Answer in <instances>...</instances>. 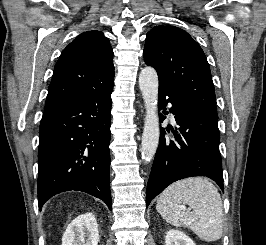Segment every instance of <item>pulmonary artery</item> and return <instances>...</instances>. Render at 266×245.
<instances>
[{
    "instance_id": "pulmonary-artery-1",
    "label": "pulmonary artery",
    "mask_w": 266,
    "mask_h": 245,
    "mask_svg": "<svg viewBox=\"0 0 266 245\" xmlns=\"http://www.w3.org/2000/svg\"><path fill=\"white\" fill-rule=\"evenodd\" d=\"M169 108H171V104L168 105ZM172 116V115H171Z\"/></svg>"
}]
</instances>
